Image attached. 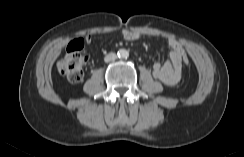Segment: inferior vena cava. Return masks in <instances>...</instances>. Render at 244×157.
Returning a JSON list of instances; mask_svg holds the SVG:
<instances>
[{"instance_id": "602c4592", "label": "inferior vena cava", "mask_w": 244, "mask_h": 157, "mask_svg": "<svg viewBox=\"0 0 244 157\" xmlns=\"http://www.w3.org/2000/svg\"><path fill=\"white\" fill-rule=\"evenodd\" d=\"M117 59V55L115 53H109L105 56L104 61L105 62H111Z\"/></svg>"}]
</instances>
